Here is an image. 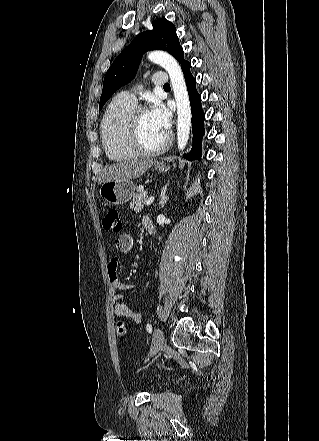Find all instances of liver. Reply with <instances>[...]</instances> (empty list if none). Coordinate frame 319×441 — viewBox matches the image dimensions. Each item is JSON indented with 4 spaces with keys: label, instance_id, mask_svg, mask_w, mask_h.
Segmentation results:
<instances>
[{
    "label": "liver",
    "instance_id": "6515ba94",
    "mask_svg": "<svg viewBox=\"0 0 319 441\" xmlns=\"http://www.w3.org/2000/svg\"><path fill=\"white\" fill-rule=\"evenodd\" d=\"M155 163V159H137L114 163L103 170L99 182L138 178Z\"/></svg>",
    "mask_w": 319,
    "mask_h": 441
}]
</instances>
